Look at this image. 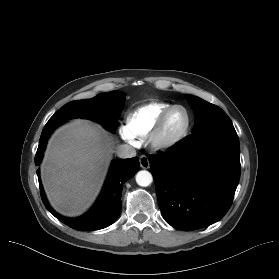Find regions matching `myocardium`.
Here are the masks:
<instances>
[{
	"label": "myocardium",
	"mask_w": 279,
	"mask_h": 279,
	"mask_svg": "<svg viewBox=\"0 0 279 279\" xmlns=\"http://www.w3.org/2000/svg\"><path fill=\"white\" fill-rule=\"evenodd\" d=\"M176 109H181L184 111L186 117L185 125L183 129L175 137L165 138L163 136V128L166 119L169 116V114ZM191 122H192L191 115L189 110L186 107L182 105H171L160 114L152 130L148 134L150 144L154 148L160 150H168L178 146L187 137L191 127Z\"/></svg>",
	"instance_id": "f54148a6"
}]
</instances>
